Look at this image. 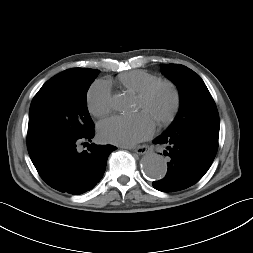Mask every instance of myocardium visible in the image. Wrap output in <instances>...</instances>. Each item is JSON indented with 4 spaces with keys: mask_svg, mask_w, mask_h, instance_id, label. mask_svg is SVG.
Listing matches in <instances>:
<instances>
[{
    "mask_svg": "<svg viewBox=\"0 0 253 253\" xmlns=\"http://www.w3.org/2000/svg\"><path fill=\"white\" fill-rule=\"evenodd\" d=\"M167 88L172 96V104L169 112L163 118L157 120V124L160 126L167 125L171 123L179 112L181 106V93L180 89L176 83L168 79L157 80L154 83L147 86L144 90L138 93V99L143 102L148 101L153 94L160 88Z\"/></svg>",
    "mask_w": 253,
    "mask_h": 253,
    "instance_id": "myocardium-1",
    "label": "myocardium"
}]
</instances>
